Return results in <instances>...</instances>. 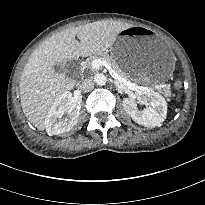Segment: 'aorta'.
Segmentation results:
<instances>
[{
	"mask_svg": "<svg viewBox=\"0 0 205 205\" xmlns=\"http://www.w3.org/2000/svg\"><path fill=\"white\" fill-rule=\"evenodd\" d=\"M94 81L97 85H105L106 82H107V78L104 74L102 73H97L95 76H94Z\"/></svg>",
	"mask_w": 205,
	"mask_h": 205,
	"instance_id": "aorta-1",
	"label": "aorta"
}]
</instances>
